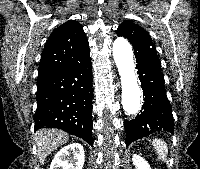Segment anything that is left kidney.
Listing matches in <instances>:
<instances>
[{
  "label": "left kidney",
  "instance_id": "1",
  "mask_svg": "<svg viewBox=\"0 0 200 169\" xmlns=\"http://www.w3.org/2000/svg\"><path fill=\"white\" fill-rule=\"evenodd\" d=\"M133 164L135 165L136 169H151L148 162L142 158L141 156L134 154L132 158Z\"/></svg>",
  "mask_w": 200,
  "mask_h": 169
}]
</instances>
